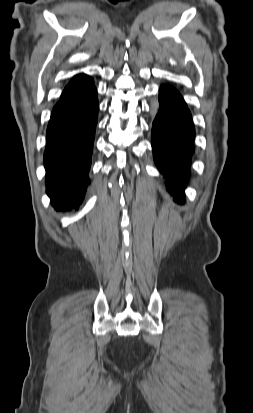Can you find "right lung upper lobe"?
I'll return each mask as SVG.
<instances>
[{"instance_id":"cb5924a9","label":"right lung upper lobe","mask_w":253,"mask_h":413,"mask_svg":"<svg viewBox=\"0 0 253 413\" xmlns=\"http://www.w3.org/2000/svg\"><path fill=\"white\" fill-rule=\"evenodd\" d=\"M93 85V80L85 75L79 74L72 78V80L68 83L66 88L64 89L60 100L72 97L73 95L79 93L80 91L90 87Z\"/></svg>"}]
</instances>
